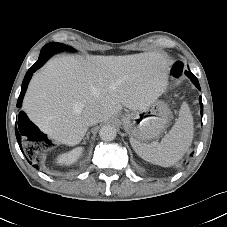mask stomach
<instances>
[{"instance_id":"obj_1","label":"stomach","mask_w":227,"mask_h":227,"mask_svg":"<svg viewBox=\"0 0 227 227\" xmlns=\"http://www.w3.org/2000/svg\"><path fill=\"white\" fill-rule=\"evenodd\" d=\"M170 117L171 111L168 105L158 100L145 110L125 114L122 125L132 139L144 142L163 134Z\"/></svg>"}]
</instances>
